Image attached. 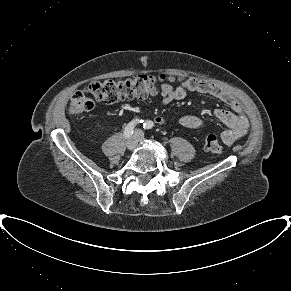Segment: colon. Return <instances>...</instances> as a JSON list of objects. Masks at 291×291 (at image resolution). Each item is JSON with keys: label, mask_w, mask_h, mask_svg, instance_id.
Instances as JSON below:
<instances>
[{"label": "colon", "mask_w": 291, "mask_h": 291, "mask_svg": "<svg viewBox=\"0 0 291 291\" xmlns=\"http://www.w3.org/2000/svg\"><path fill=\"white\" fill-rule=\"evenodd\" d=\"M187 80V78L183 77L161 74L159 76L139 75L125 79L96 81L87 86L84 91L76 92L71 97L69 109L75 114L91 111L94 108V101L91 96L96 101L107 104L128 99H146L156 95L160 85L163 87L173 82L182 84ZM156 122L163 124L166 122V119L164 117H157ZM204 149L216 154L224 152V147L214 134H209L205 137Z\"/></svg>", "instance_id": "obj_1"}]
</instances>
